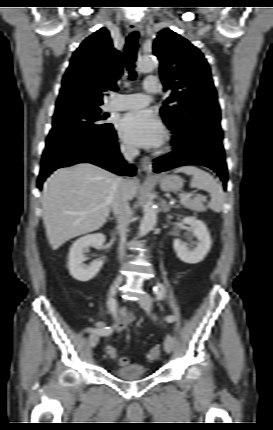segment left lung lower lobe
I'll return each mask as SVG.
<instances>
[{
	"mask_svg": "<svg viewBox=\"0 0 273 430\" xmlns=\"http://www.w3.org/2000/svg\"><path fill=\"white\" fill-rule=\"evenodd\" d=\"M172 137L174 151L154 160V172L160 173L183 165H203L214 170L226 187L227 166L220 120L217 117L203 115Z\"/></svg>",
	"mask_w": 273,
	"mask_h": 430,
	"instance_id": "1",
	"label": "left lung lower lobe"
}]
</instances>
